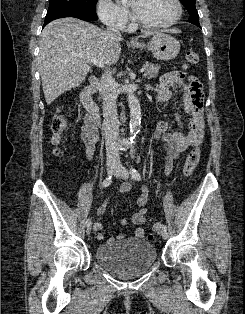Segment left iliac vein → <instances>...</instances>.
Segmentation results:
<instances>
[{"mask_svg": "<svg viewBox=\"0 0 245 314\" xmlns=\"http://www.w3.org/2000/svg\"><path fill=\"white\" fill-rule=\"evenodd\" d=\"M115 175L120 178V179H128L129 178V173L128 171L123 167V165L119 162L116 170H115ZM161 236L163 239H167L168 238V232L167 230H162L161 231Z\"/></svg>", "mask_w": 245, "mask_h": 314, "instance_id": "left-iliac-vein-1", "label": "left iliac vein"}]
</instances>
